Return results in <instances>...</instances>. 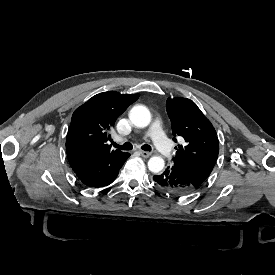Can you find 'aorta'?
<instances>
[{
  "mask_svg": "<svg viewBox=\"0 0 275 275\" xmlns=\"http://www.w3.org/2000/svg\"><path fill=\"white\" fill-rule=\"evenodd\" d=\"M130 120L137 128L143 129L152 123V116L147 107L136 105L130 111ZM164 165L165 161L161 156H152L148 161V168L153 173H159Z\"/></svg>",
  "mask_w": 275,
  "mask_h": 275,
  "instance_id": "obj_1",
  "label": "aorta"
}]
</instances>
